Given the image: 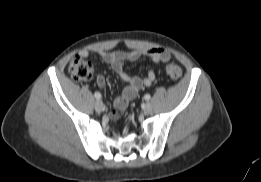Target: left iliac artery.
<instances>
[{"label": "left iliac artery", "mask_w": 261, "mask_h": 182, "mask_svg": "<svg viewBox=\"0 0 261 182\" xmlns=\"http://www.w3.org/2000/svg\"><path fill=\"white\" fill-rule=\"evenodd\" d=\"M150 98H151V96L149 94L144 95L145 100H149Z\"/></svg>", "instance_id": "1"}]
</instances>
